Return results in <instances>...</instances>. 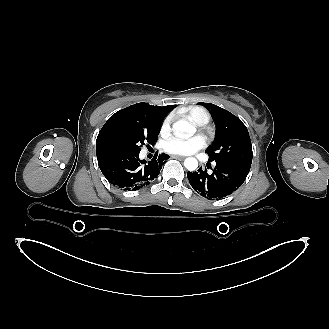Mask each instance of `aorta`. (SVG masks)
Returning <instances> with one entry per match:
<instances>
[{
  "label": "aorta",
  "mask_w": 329,
  "mask_h": 329,
  "mask_svg": "<svg viewBox=\"0 0 329 329\" xmlns=\"http://www.w3.org/2000/svg\"><path fill=\"white\" fill-rule=\"evenodd\" d=\"M173 130L179 136L191 137L195 134L196 127L186 120H179L173 124ZM184 166L188 171H195L198 167V161L193 157L186 158Z\"/></svg>",
  "instance_id": "aorta-1"
}]
</instances>
